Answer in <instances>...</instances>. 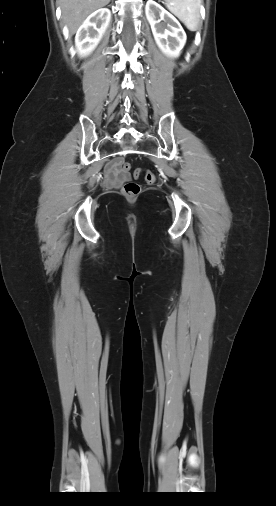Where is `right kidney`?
I'll list each match as a JSON object with an SVG mask.
<instances>
[{
    "instance_id": "right-kidney-1",
    "label": "right kidney",
    "mask_w": 276,
    "mask_h": 506,
    "mask_svg": "<svg viewBox=\"0 0 276 506\" xmlns=\"http://www.w3.org/2000/svg\"><path fill=\"white\" fill-rule=\"evenodd\" d=\"M110 18V10L101 8L89 15L79 27L75 44L81 57L88 56L97 47L109 25Z\"/></svg>"
}]
</instances>
